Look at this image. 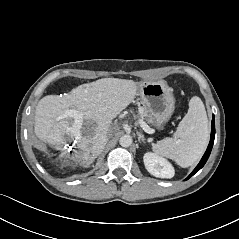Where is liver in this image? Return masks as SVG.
I'll list each match as a JSON object with an SVG mask.
<instances>
[{
	"mask_svg": "<svg viewBox=\"0 0 239 239\" xmlns=\"http://www.w3.org/2000/svg\"><path fill=\"white\" fill-rule=\"evenodd\" d=\"M139 84L133 80L103 78L82 84L66 96L43 97L36 106L34 117V133L41 141L37 147L44 150L45 143L59 145L64 142L74 119L59 117L74 109L82 114V123L84 120L96 123L93 135L83 138V153L75 158L76 162L91 164L93 157H90V152L99 154L94 149L96 139L101 135L107 136L112 120L136 97ZM82 123L75 134L80 132Z\"/></svg>",
	"mask_w": 239,
	"mask_h": 239,
	"instance_id": "obj_1",
	"label": "liver"
}]
</instances>
